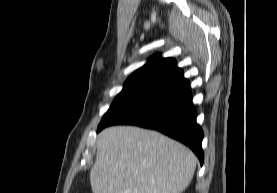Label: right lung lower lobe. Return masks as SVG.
I'll use <instances>...</instances> for the list:
<instances>
[{
	"mask_svg": "<svg viewBox=\"0 0 277 193\" xmlns=\"http://www.w3.org/2000/svg\"><path fill=\"white\" fill-rule=\"evenodd\" d=\"M196 110L187 79L149 93L99 125L97 131L116 124H131L154 129L189 146L201 165L203 131L196 123Z\"/></svg>",
	"mask_w": 277,
	"mask_h": 193,
	"instance_id": "1",
	"label": "right lung lower lobe"
}]
</instances>
